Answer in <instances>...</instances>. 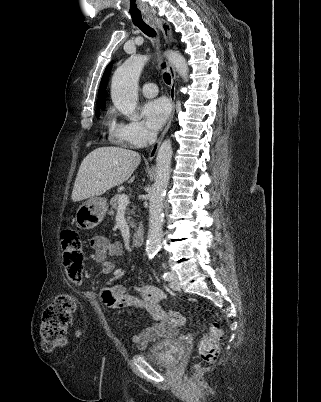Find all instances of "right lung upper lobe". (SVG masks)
I'll use <instances>...</instances> for the list:
<instances>
[{
    "label": "right lung upper lobe",
    "mask_w": 321,
    "mask_h": 402,
    "mask_svg": "<svg viewBox=\"0 0 321 402\" xmlns=\"http://www.w3.org/2000/svg\"><path fill=\"white\" fill-rule=\"evenodd\" d=\"M111 67L112 66L110 63L106 67L102 80H101V83H100V87H99V91H98V100H97L98 108L103 107L106 104V88H107V82H108V78L110 75Z\"/></svg>",
    "instance_id": "cb5924a9"
}]
</instances>
